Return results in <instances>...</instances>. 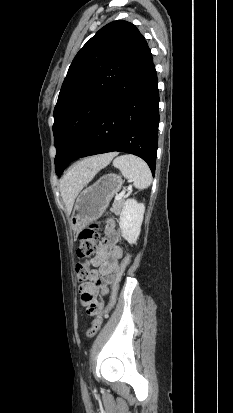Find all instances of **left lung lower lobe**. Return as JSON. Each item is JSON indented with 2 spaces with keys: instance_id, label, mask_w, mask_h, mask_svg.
<instances>
[{
  "instance_id": "obj_1",
  "label": "left lung lower lobe",
  "mask_w": 233,
  "mask_h": 413,
  "mask_svg": "<svg viewBox=\"0 0 233 413\" xmlns=\"http://www.w3.org/2000/svg\"><path fill=\"white\" fill-rule=\"evenodd\" d=\"M159 92L152 54L144 40L93 121L72 160L112 151L141 157L155 174Z\"/></svg>"
}]
</instances>
